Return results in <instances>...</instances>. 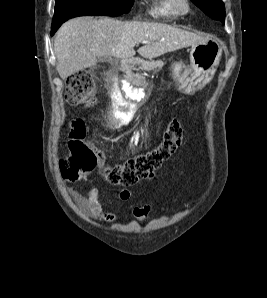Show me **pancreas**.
<instances>
[{"mask_svg":"<svg viewBox=\"0 0 267 298\" xmlns=\"http://www.w3.org/2000/svg\"><path fill=\"white\" fill-rule=\"evenodd\" d=\"M164 65V62L162 61H150V62H146L142 65V67H140L139 69H136L137 71L139 70H144V71H151L157 68H161ZM129 78L131 80H135V79H143L144 77L140 74V73H136V74H131L129 76Z\"/></svg>","mask_w":267,"mask_h":298,"instance_id":"cf45deb5","label":"pancreas"}]
</instances>
